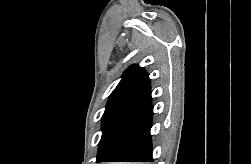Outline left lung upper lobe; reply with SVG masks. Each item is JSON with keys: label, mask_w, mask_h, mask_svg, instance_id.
Returning <instances> with one entry per match:
<instances>
[{"label": "left lung upper lobe", "mask_w": 251, "mask_h": 164, "mask_svg": "<svg viewBox=\"0 0 251 164\" xmlns=\"http://www.w3.org/2000/svg\"><path fill=\"white\" fill-rule=\"evenodd\" d=\"M150 89L149 75L143 68L132 65L124 72L121 81L111 93L102 116V137L96 162L106 160L110 156L123 120Z\"/></svg>", "instance_id": "obj_1"}]
</instances>
